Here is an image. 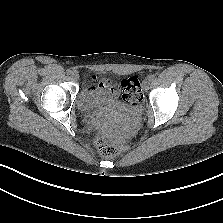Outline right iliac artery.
<instances>
[{"mask_svg": "<svg viewBox=\"0 0 223 223\" xmlns=\"http://www.w3.org/2000/svg\"><path fill=\"white\" fill-rule=\"evenodd\" d=\"M66 73H67L68 75H70V74L72 73V70L68 69V70L66 71Z\"/></svg>", "mask_w": 223, "mask_h": 223, "instance_id": "obj_1", "label": "right iliac artery"}]
</instances>
